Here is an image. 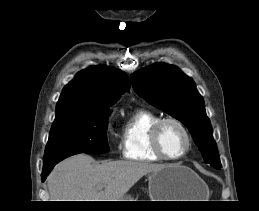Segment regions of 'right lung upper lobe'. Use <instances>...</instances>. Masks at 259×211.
<instances>
[{"mask_svg": "<svg viewBox=\"0 0 259 211\" xmlns=\"http://www.w3.org/2000/svg\"><path fill=\"white\" fill-rule=\"evenodd\" d=\"M130 87L127 75L106 66H91L68 83L56 105V115L72 109L104 110Z\"/></svg>", "mask_w": 259, "mask_h": 211, "instance_id": "cb5924a9", "label": "right lung upper lobe"}]
</instances>
